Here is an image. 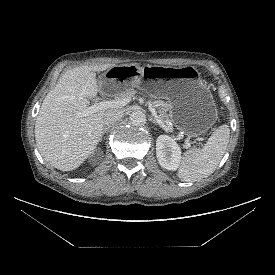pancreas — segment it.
I'll return each mask as SVG.
<instances>
[{
	"label": "pancreas",
	"instance_id": "1",
	"mask_svg": "<svg viewBox=\"0 0 275 275\" xmlns=\"http://www.w3.org/2000/svg\"><path fill=\"white\" fill-rule=\"evenodd\" d=\"M137 93L134 89H129L127 91L117 94V99H123L125 97H133ZM152 105L158 110L159 119L162 120L166 125L170 121V114L167 112L170 110V104L163 100H155L152 102Z\"/></svg>",
	"mask_w": 275,
	"mask_h": 275
}]
</instances>
